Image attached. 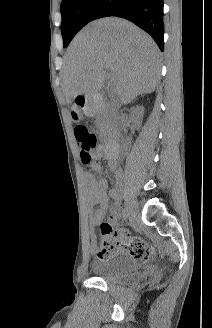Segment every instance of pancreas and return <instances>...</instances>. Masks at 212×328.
I'll use <instances>...</instances> for the list:
<instances>
[{
  "label": "pancreas",
  "instance_id": "1",
  "mask_svg": "<svg viewBox=\"0 0 212 328\" xmlns=\"http://www.w3.org/2000/svg\"><path fill=\"white\" fill-rule=\"evenodd\" d=\"M95 124L100 133H104L109 127L108 115L102 111H99L96 116Z\"/></svg>",
  "mask_w": 212,
  "mask_h": 328
}]
</instances>
